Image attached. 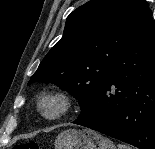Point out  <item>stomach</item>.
<instances>
[{
    "mask_svg": "<svg viewBox=\"0 0 155 149\" xmlns=\"http://www.w3.org/2000/svg\"><path fill=\"white\" fill-rule=\"evenodd\" d=\"M55 149H116L113 142L91 129H67L55 140Z\"/></svg>",
    "mask_w": 155,
    "mask_h": 149,
    "instance_id": "0dacf381",
    "label": "stomach"
}]
</instances>
